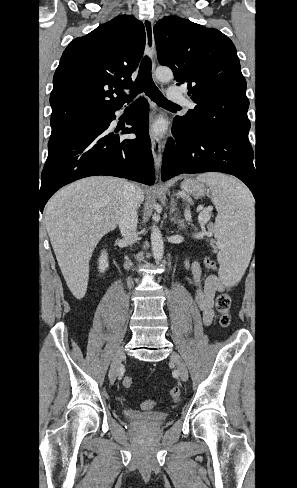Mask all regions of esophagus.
I'll return each instance as SVG.
<instances>
[{
	"mask_svg": "<svg viewBox=\"0 0 297 488\" xmlns=\"http://www.w3.org/2000/svg\"><path fill=\"white\" fill-rule=\"evenodd\" d=\"M146 33V49L148 56L152 59L155 54V42L153 33V21L145 19L143 21ZM152 154L156 170H159L162 162V147L158 137H151Z\"/></svg>",
	"mask_w": 297,
	"mask_h": 488,
	"instance_id": "34e87169",
	"label": "esophagus"
}]
</instances>
